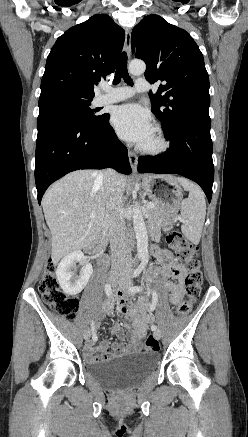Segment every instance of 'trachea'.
<instances>
[{
    "label": "trachea",
    "mask_w": 248,
    "mask_h": 437,
    "mask_svg": "<svg viewBox=\"0 0 248 437\" xmlns=\"http://www.w3.org/2000/svg\"><path fill=\"white\" fill-rule=\"evenodd\" d=\"M121 78L125 80V82L129 85H132V80L128 74L127 70V53L123 52L121 54L120 60L118 62L115 77L113 80V84H117L120 82Z\"/></svg>",
    "instance_id": "1"
}]
</instances>
